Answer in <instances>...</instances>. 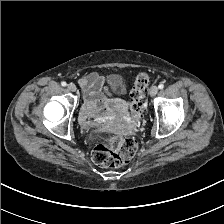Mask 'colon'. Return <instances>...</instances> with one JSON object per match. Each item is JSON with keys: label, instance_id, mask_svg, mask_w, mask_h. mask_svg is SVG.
<instances>
[{"label": "colon", "instance_id": "colon-1", "mask_svg": "<svg viewBox=\"0 0 224 224\" xmlns=\"http://www.w3.org/2000/svg\"><path fill=\"white\" fill-rule=\"evenodd\" d=\"M150 83L148 73L137 75L131 91L130 109L134 121H138L145 107V92ZM137 142L133 138L112 134H100L94 140L93 161L102 167L116 168L127 164L137 151Z\"/></svg>", "mask_w": 224, "mask_h": 224}]
</instances>
